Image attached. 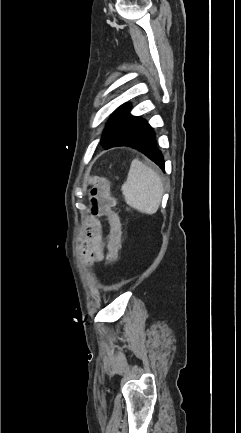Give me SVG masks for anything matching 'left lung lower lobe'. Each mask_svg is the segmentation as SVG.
Instances as JSON below:
<instances>
[{
	"label": "left lung lower lobe",
	"mask_w": 241,
	"mask_h": 433,
	"mask_svg": "<svg viewBox=\"0 0 241 433\" xmlns=\"http://www.w3.org/2000/svg\"><path fill=\"white\" fill-rule=\"evenodd\" d=\"M124 146H130L139 150L141 153L145 154L149 159L154 161L163 171L165 170L164 158L162 153L157 148L156 136L152 128L150 129L149 132H147L142 137L136 138L128 142Z\"/></svg>",
	"instance_id": "left-lung-lower-lobe-1"
}]
</instances>
